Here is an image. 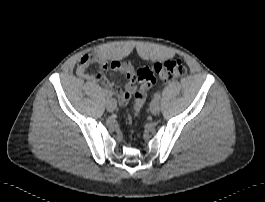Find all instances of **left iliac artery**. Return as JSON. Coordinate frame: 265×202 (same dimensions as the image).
Wrapping results in <instances>:
<instances>
[{"mask_svg":"<svg viewBox=\"0 0 265 202\" xmlns=\"http://www.w3.org/2000/svg\"><path fill=\"white\" fill-rule=\"evenodd\" d=\"M154 99H155V100H159V99H160V93H156V94L154 95Z\"/></svg>","mask_w":265,"mask_h":202,"instance_id":"1","label":"left iliac artery"}]
</instances>
